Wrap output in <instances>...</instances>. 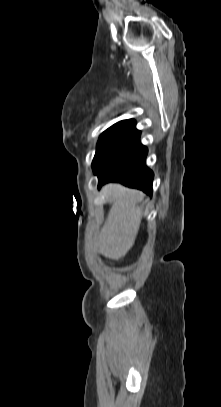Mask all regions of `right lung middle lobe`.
<instances>
[{
  "instance_id": "obj_1",
  "label": "right lung middle lobe",
  "mask_w": 221,
  "mask_h": 407,
  "mask_svg": "<svg viewBox=\"0 0 221 407\" xmlns=\"http://www.w3.org/2000/svg\"><path fill=\"white\" fill-rule=\"evenodd\" d=\"M135 128H114L104 131L97 143L96 154L92 162L94 174H98L122 146L136 133Z\"/></svg>"
}]
</instances>
